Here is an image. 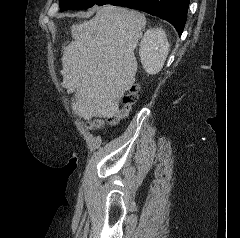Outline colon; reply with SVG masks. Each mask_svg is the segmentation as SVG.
I'll list each match as a JSON object with an SVG mask.
<instances>
[{
  "mask_svg": "<svg viewBox=\"0 0 240 238\" xmlns=\"http://www.w3.org/2000/svg\"><path fill=\"white\" fill-rule=\"evenodd\" d=\"M136 98H137V88H136V86H133L131 88L130 92L123 99V107L116 116H114L108 120H96L91 125L93 127H103L106 124L113 125V124L117 123L119 120H121L127 116L131 106L136 101Z\"/></svg>",
  "mask_w": 240,
  "mask_h": 238,
  "instance_id": "5ec220e1",
  "label": "colon"
}]
</instances>
